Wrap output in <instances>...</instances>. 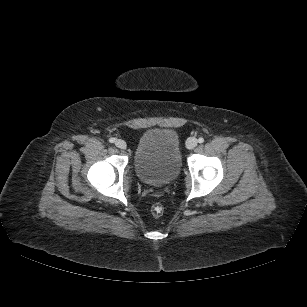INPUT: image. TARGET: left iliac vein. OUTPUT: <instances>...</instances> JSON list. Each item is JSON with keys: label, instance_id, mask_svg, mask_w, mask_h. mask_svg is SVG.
Listing matches in <instances>:
<instances>
[{"label": "left iliac vein", "instance_id": "obj_1", "mask_svg": "<svg viewBox=\"0 0 307 307\" xmlns=\"http://www.w3.org/2000/svg\"><path fill=\"white\" fill-rule=\"evenodd\" d=\"M196 145H197V140L194 137H190V138L187 139L186 147L188 149H190V150L194 149L196 147Z\"/></svg>", "mask_w": 307, "mask_h": 307}]
</instances>
